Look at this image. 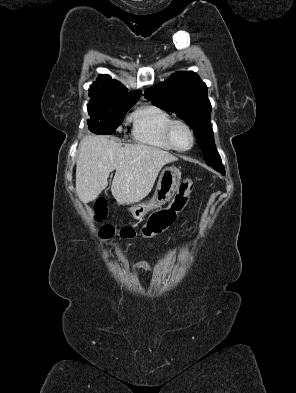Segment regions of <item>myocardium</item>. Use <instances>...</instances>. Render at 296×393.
<instances>
[{"mask_svg": "<svg viewBox=\"0 0 296 393\" xmlns=\"http://www.w3.org/2000/svg\"><path fill=\"white\" fill-rule=\"evenodd\" d=\"M179 124L185 126L191 135V145L188 148H184V149L179 148L173 140V129L176 125H179ZM165 135H166L167 141L171 145V147L179 152L189 151L190 149L193 148L195 141H196V137H195V133H194L193 128L191 127V125L187 121H185L183 119H172L169 122V124L167 125Z\"/></svg>", "mask_w": 296, "mask_h": 393, "instance_id": "obj_1", "label": "myocardium"}]
</instances>
